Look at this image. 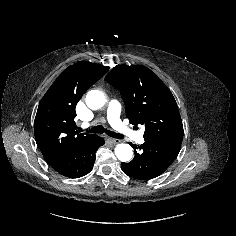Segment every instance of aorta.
Here are the masks:
<instances>
[{
    "mask_svg": "<svg viewBox=\"0 0 236 236\" xmlns=\"http://www.w3.org/2000/svg\"><path fill=\"white\" fill-rule=\"evenodd\" d=\"M106 103V96L99 90H91L86 95V104L90 109L97 110ZM115 155L122 162H128L133 156L132 147L129 144L121 143L115 147Z\"/></svg>",
    "mask_w": 236,
    "mask_h": 236,
    "instance_id": "1",
    "label": "aorta"
}]
</instances>
